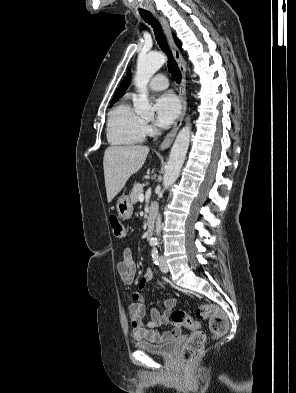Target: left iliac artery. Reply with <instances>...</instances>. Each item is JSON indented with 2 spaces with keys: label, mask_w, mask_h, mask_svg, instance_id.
<instances>
[{
  "label": "left iliac artery",
  "mask_w": 296,
  "mask_h": 393,
  "mask_svg": "<svg viewBox=\"0 0 296 393\" xmlns=\"http://www.w3.org/2000/svg\"><path fill=\"white\" fill-rule=\"evenodd\" d=\"M158 250H157V248L156 247H154L153 249H152V258H153V261H154V263L156 264V265H158L159 263H158Z\"/></svg>",
  "instance_id": "1"
}]
</instances>
